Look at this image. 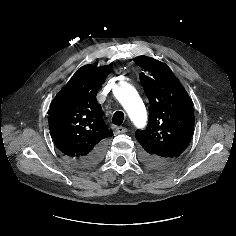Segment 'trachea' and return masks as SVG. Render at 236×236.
<instances>
[{"mask_svg":"<svg viewBox=\"0 0 236 236\" xmlns=\"http://www.w3.org/2000/svg\"><path fill=\"white\" fill-rule=\"evenodd\" d=\"M124 120V114L121 111H117L114 113L113 118H112V122L114 125H121L123 123Z\"/></svg>","mask_w":236,"mask_h":236,"instance_id":"trachea-1","label":"trachea"}]
</instances>
